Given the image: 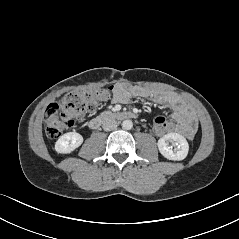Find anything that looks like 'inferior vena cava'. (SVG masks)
Wrapping results in <instances>:
<instances>
[{"instance_id": "602c4592", "label": "inferior vena cava", "mask_w": 239, "mask_h": 239, "mask_svg": "<svg viewBox=\"0 0 239 239\" xmlns=\"http://www.w3.org/2000/svg\"><path fill=\"white\" fill-rule=\"evenodd\" d=\"M118 126L117 121L111 118H106L103 121L102 127L105 131H112Z\"/></svg>"}]
</instances>
